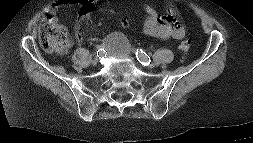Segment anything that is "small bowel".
Here are the masks:
<instances>
[{
    "mask_svg": "<svg viewBox=\"0 0 253 143\" xmlns=\"http://www.w3.org/2000/svg\"><path fill=\"white\" fill-rule=\"evenodd\" d=\"M99 0H57L48 10L46 20L57 22V11L63 6H78L80 8L74 28L75 41L81 39V24L85 17L95 8ZM145 21L143 31L146 35L159 39H181L184 36V29L175 21L173 15H159L152 6H145ZM127 19H122L120 25L127 27Z\"/></svg>",
    "mask_w": 253,
    "mask_h": 143,
    "instance_id": "1",
    "label": "small bowel"
}]
</instances>
